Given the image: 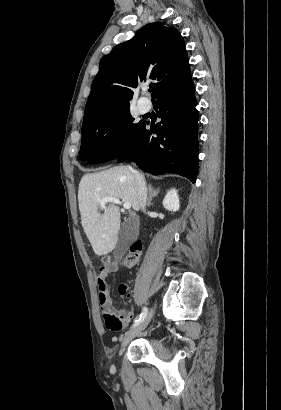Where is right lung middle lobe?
Here are the masks:
<instances>
[{
    "instance_id": "right-lung-middle-lobe-1",
    "label": "right lung middle lobe",
    "mask_w": 281,
    "mask_h": 410,
    "mask_svg": "<svg viewBox=\"0 0 281 410\" xmlns=\"http://www.w3.org/2000/svg\"><path fill=\"white\" fill-rule=\"evenodd\" d=\"M144 121L134 122L130 107L109 112L82 125L80 159L90 163L119 157L141 130Z\"/></svg>"
}]
</instances>
